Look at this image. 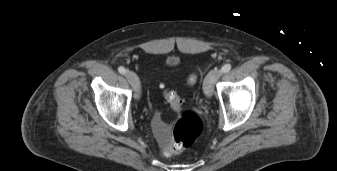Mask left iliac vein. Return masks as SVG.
Here are the masks:
<instances>
[{"instance_id":"4c4485c4","label":"left iliac vein","mask_w":337,"mask_h":171,"mask_svg":"<svg viewBox=\"0 0 337 171\" xmlns=\"http://www.w3.org/2000/svg\"><path fill=\"white\" fill-rule=\"evenodd\" d=\"M220 76H221L220 70H213L209 72L208 75L206 76L203 84V90L207 97L212 96L214 84L216 83V81L219 79Z\"/></svg>"}]
</instances>
